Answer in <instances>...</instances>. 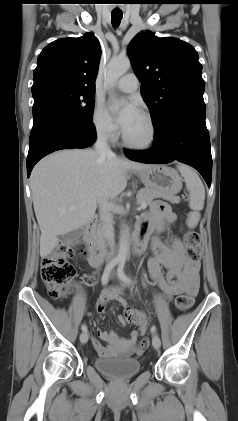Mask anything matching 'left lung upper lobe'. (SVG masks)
<instances>
[{
  "label": "left lung upper lobe",
  "mask_w": 238,
  "mask_h": 421,
  "mask_svg": "<svg viewBox=\"0 0 238 421\" xmlns=\"http://www.w3.org/2000/svg\"><path fill=\"white\" fill-rule=\"evenodd\" d=\"M127 50L156 132L177 112L205 107L202 65L191 45L147 31L137 34Z\"/></svg>",
  "instance_id": "left-lung-upper-lobe-1"
}]
</instances>
